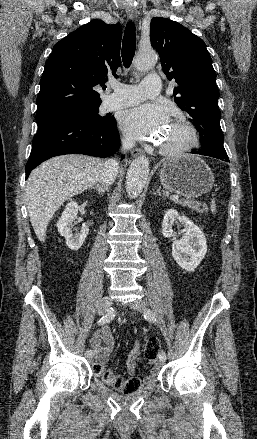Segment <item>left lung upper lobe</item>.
Masks as SVG:
<instances>
[{
    "instance_id": "left-lung-upper-lobe-1",
    "label": "left lung upper lobe",
    "mask_w": 257,
    "mask_h": 439,
    "mask_svg": "<svg viewBox=\"0 0 257 439\" xmlns=\"http://www.w3.org/2000/svg\"><path fill=\"white\" fill-rule=\"evenodd\" d=\"M150 41L159 53L163 72L178 84L174 100L199 131L200 151L226 155L216 74L205 42L178 22L162 17L152 18Z\"/></svg>"
}]
</instances>
